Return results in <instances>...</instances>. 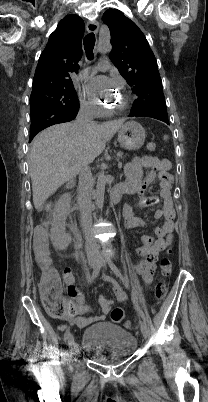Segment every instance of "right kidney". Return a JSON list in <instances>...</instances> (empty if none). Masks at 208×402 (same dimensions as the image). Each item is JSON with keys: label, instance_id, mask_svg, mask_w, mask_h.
<instances>
[{"label": "right kidney", "instance_id": "ca27d5eb", "mask_svg": "<svg viewBox=\"0 0 208 402\" xmlns=\"http://www.w3.org/2000/svg\"><path fill=\"white\" fill-rule=\"evenodd\" d=\"M70 200V194H63L53 210L50 240L55 250H65L71 242L69 234H65L66 220L71 208Z\"/></svg>", "mask_w": 208, "mask_h": 402}]
</instances>
